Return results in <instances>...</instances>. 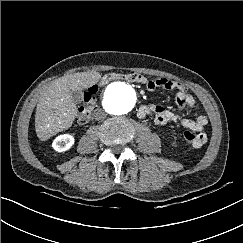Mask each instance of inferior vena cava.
Wrapping results in <instances>:
<instances>
[{
  "mask_svg": "<svg viewBox=\"0 0 243 243\" xmlns=\"http://www.w3.org/2000/svg\"><path fill=\"white\" fill-rule=\"evenodd\" d=\"M107 116V113L103 109H95L93 112V117L96 120H104Z\"/></svg>",
  "mask_w": 243,
  "mask_h": 243,
  "instance_id": "inferior-vena-cava-1",
  "label": "inferior vena cava"
}]
</instances>
